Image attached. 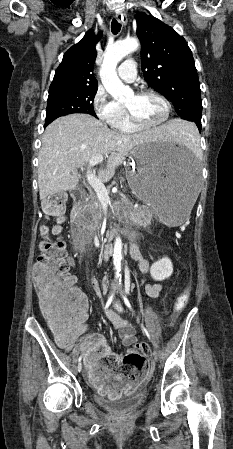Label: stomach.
Masks as SVG:
<instances>
[{
  "instance_id": "0dacf381",
  "label": "stomach",
  "mask_w": 233,
  "mask_h": 449,
  "mask_svg": "<svg viewBox=\"0 0 233 449\" xmlns=\"http://www.w3.org/2000/svg\"><path fill=\"white\" fill-rule=\"evenodd\" d=\"M126 177L135 196L158 220L178 226L199 201L200 169L189 151L168 142H145L131 152Z\"/></svg>"
}]
</instances>
